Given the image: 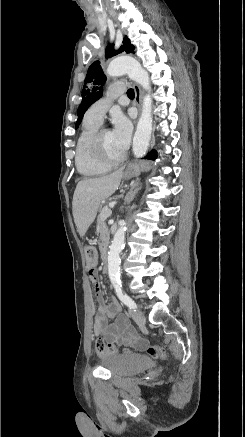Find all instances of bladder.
I'll return each instance as SVG.
<instances>
[{"label":"bladder","instance_id":"bladder-1","mask_svg":"<svg viewBox=\"0 0 245 437\" xmlns=\"http://www.w3.org/2000/svg\"><path fill=\"white\" fill-rule=\"evenodd\" d=\"M101 363L113 376L127 377L149 368L153 361L140 354L115 353L104 355Z\"/></svg>","mask_w":245,"mask_h":437}]
</instances>
